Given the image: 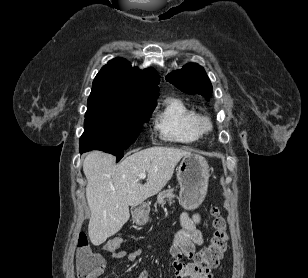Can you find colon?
I'll return each mask as SVG.
<instances>
[{"label":"colon","instance_id":"5ec220e1","mask_svg":"<svg viewBox=\"0 0 308 278\" xmlns=\"http://www.w3.org/2000/svg\"><path fill=\"white\" fill-rule=\"evenodd\" d=\"M213 234L209 244L195 254L196 263L206 268L218 266L227 248L228 234L225 219L217 208L211 210ZM121 244L120 238L107 240L101 247L102 253H113ZM76 269L79 278H98L104 269V260L101 255L95 253L89 244L85 234L78 238Z\"/></svg>","mask_w":308,"mask_h":278}]
</instances>
